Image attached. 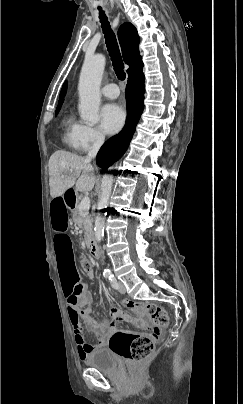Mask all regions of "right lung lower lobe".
I'll list each match as a JSON object with an SVG mask.
<instances>
[{
  "label": "right lung lower lobe",
  "mask_w": 243,
  "mask_h": 404,
  "mask_svg": "<svg viewBox=\"0 0 243 404\" xmlns=\"http://www.w3.org/2000/svg\"><path fill=\"white\" fill-rule=\"evenodd\" d=\"M144 93V74L141 71L128 79L125 92L128 115L123 130L110 138L97 154L96 162L102 169H106L112 165L127 150L136 124L143 111Z\"/></svg>",
  "instance_id": "right-lung-lower-lobe-1"
}]
</instances>
